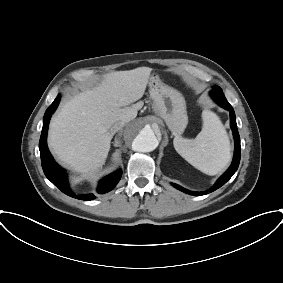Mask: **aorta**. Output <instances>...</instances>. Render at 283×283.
Here are the masks:
<instances>
[{
	"instance_id": "aorta-1",
	"label": "aorta",
	"mask_w": 283,
	"mask_h": 283,
	"mask_svg": "<svg viewBox=\"0 0 283 283\" xmlns=\"http://www.w3.org/2000/svg\"><path fill=\"white\" fill-rule=\"evenodd\" d=\"M126 139L134 151L144 153L155 150L159 143L150 125L142 122L129 127Z\"/></svg>"
}]
</instances>
